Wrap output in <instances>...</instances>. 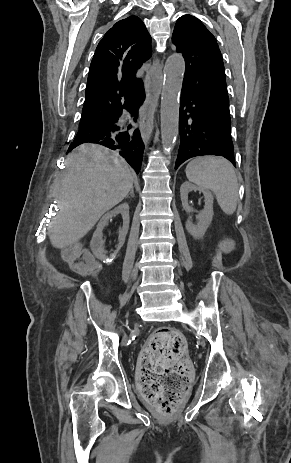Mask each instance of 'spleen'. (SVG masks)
Here are the masks:
<instances>
[{"label":"spleen","instance_id":"spleen-1","mask_svg":"<svg viewBox=\"0 0 291 463\" xmlns=\"http://www.w3.org/2000/svg\"><path fill=\"white\" fill-rule=\"evenodd\" d=\"M185 172L190 182L213 191L225 214L232 215L236 211L238 181L229 161L222 157H198L188 163Z\"/></svg>","mask_w":291,"mask_h":463}]
</instances>
